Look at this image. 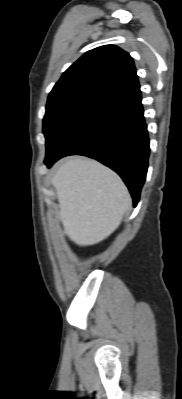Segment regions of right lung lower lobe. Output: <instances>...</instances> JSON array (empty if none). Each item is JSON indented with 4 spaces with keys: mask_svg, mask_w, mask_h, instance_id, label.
<instances>
[{
    "mask_svg": "<svg viewBox=\"0 0 182 399\" xmlns=\"http://www.w3.org/2000/svg\"><path fill=\"white\" fill-rule=\"evenodd\" d=\"M149 152L139 88L107 100L74 123L46 151L44 163L51 167L67 155L96 159L121 176L135 207L146 178Z\"/></svg>",
    "mask_w": 182,
    "mask_h": 399,
    "instance_id": "98d812e1",
    "label": "right lung lower lobe"
}]
</instances>
